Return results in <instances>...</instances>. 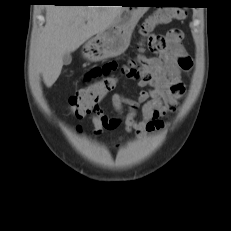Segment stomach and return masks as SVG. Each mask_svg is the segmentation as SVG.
<instances>
[{
    "label": "stomach",
    "mask_w": 231,
    "mask_h": 231,
    "mask_svg": "<svg viewBox=\"0 0 231 231\" xmlns=\"http://www.w3.org/2000/svg\"><path fill=\"white\" fill-rule=\"evenodd\" d=\"M127 3L145 2L130 0ZM147 10L148 7H123L111 25L85 43L84 56L91 61H100L124 53L136 24Z\"/></svg>",
    "instance_id": "1"
}]
</instances>
